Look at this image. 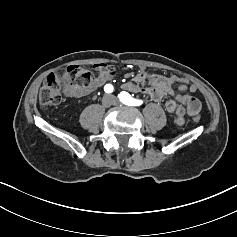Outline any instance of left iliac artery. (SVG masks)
Here are the masks:
<instances>
[{"instance_id":"left-iliac-artery-1","label":"left iliac artery","mask_w":237,"mask_h":237,"mask_svg":"<svg viewBox=\"0 0 237 237\" xmlns=\"http://www.w3.org/2000/svg\"><path fill=\"white\" fill-rule=\"evenodd\" d=\"M118 98L123 104L128 106H139L143 103L141 100L134 99L129 93L125 91L121 92L118 95Z\"/></svg>"}]
</instances>
